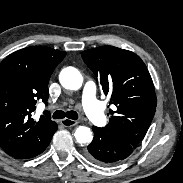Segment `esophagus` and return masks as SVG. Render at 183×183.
<instances>
[{"label":"esophagus","mask_w":183,"mask_h":183,"mask_svg":"<svg viewBox=\"0 0 183 183\" xmlns=\"http://www.w3.org/2000/svg\"><path fill=\"white\" fill-rule=\"evenodd\" d=\"M78 123H79L78 121L68 119V118L61 120V125L64 127H73V126L77 125Z\"/></svg>","instance_id":"34e87169"}]
</instances>
